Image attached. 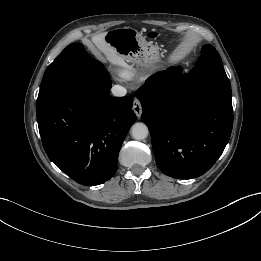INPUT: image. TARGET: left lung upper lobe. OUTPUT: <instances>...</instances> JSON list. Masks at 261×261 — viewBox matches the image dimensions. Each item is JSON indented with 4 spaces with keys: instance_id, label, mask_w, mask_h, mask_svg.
Returning <instances> with one entry per match:
<instances>
[{
    "instance_id": "1",
    "label": "left lung upper lobe",
    "mask_w": 261,
    "mask_h": 261,
    "mask_svg": "<svg viewBox=\"0 0 261 261\" xmlns=\"http://www.w3.org/2000/svg\"><path fill=\"white\" fill-rule=\"evenodd\" d=\"M196 66H218L222 67L221 57L215 48L211 45H204L202 54L199 57Z\"/></svg>"
}]
</instances>
